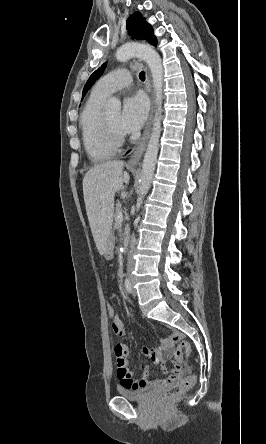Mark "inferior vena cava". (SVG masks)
I'll use <instances>...</instances> for the list:
<instances>
[{"label": "inferior vena cava", "instance_id": "602c4592", "mask_svg": "<svg viewBox=\"0 0 266 444\" xmlns=\"http://www.w3.org/2000/svg\"><path fill=\"white\" fill-rule=\"evenodd\" d=\"M136 239L135 236L132 235L131 237V241H130V248L133 249L134 245H135ZM134 267V262L131 256L128 257V262H127V270L131 271Z\"/></svg>", "mask_w": 266, "mask_h": 444}]
</instances>
